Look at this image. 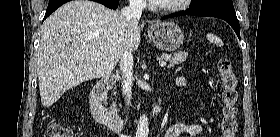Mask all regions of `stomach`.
I'll return each instance as SVG.
<instances>
[{
  "mask_svg": "<svg viewBox=\"0 0 280 137\" xmlns=\"http://www.w3.org/2000/svg\"><path fill=\"white\" fill-rule=\"evenodd\" d=\"M148 36L154 46L163 51H173L181 46L184 35L174 22H162L148 29Z\"/></svg>",
  "mask_w": 280,
  "mask_h": 137,
  "instance_id": "1",
  "label": "stomach"
}]
</instances>
